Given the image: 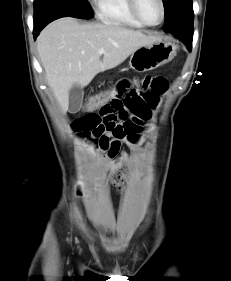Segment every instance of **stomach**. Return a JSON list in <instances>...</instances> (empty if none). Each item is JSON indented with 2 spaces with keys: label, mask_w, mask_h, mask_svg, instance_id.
Masks as SVG:
<instances>
[{
  "label": "stomach",
  "mask_w": 231,
  "mask_h": 281,
  "mask_svg": "<svg viewBox=\"0 0 231 281\" xmlns=\"http://www.w3.org/2000/svg\"><path fill=\"white\" fill-rule=\"evenodd\" d=\"M176 49L171 39L161 38L134 51L130 56L129 65L139 73L156 69L170 62L176 55Z\"/></svg>",
  "instance_id": "0dacf381"
}]
</instances>
